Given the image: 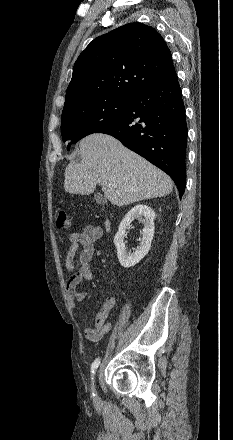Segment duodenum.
<instances>
[{"mask_svg": "<svg viewBox=\"0 0 233 440\" xmlns=\"http://www.w3.org/2000/svg\"><path fill=\"white\" fill-rule=\"evenodd\" d=\"M106 227H107V228L109 227V223L106 224Z\"/></svg>", "mask_w": 233, "mask_h": 440, "instance_id": "1", "label": "duodenum"}]
</instances>
